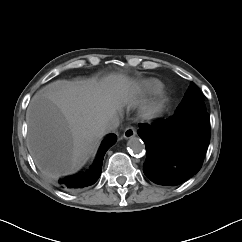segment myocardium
<instances>
[{"instance_id":"f54148a6","label":"myocardium","mask_w":242,"mask_h":242,"mask_svg":"<svg viewBox=\"0 0 242 242\" xmlns=\"http://www.w3.org/2000/svg\"><path fill=\"white\" fill-rule=\"evenodd\" d=\"M163 108V101H156L146 105L142 108L140 112V116L142 119L146 121H153L155 120L161 113Z\"/></svg>"}]
</instances>
